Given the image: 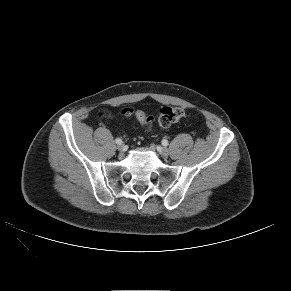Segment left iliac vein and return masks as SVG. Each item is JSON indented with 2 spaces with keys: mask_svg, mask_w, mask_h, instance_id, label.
Instances as JSON below:
<instances>
[{
  "mask_svg": "<svg viewBox=\"0 0 291 291\" xmlns=\"http://www.w3.org/2000/svg\"><path fill=\"white\" fill-rule=\"evenodd\" d=\"M151 148L154 149V146H151ZM159 152H160V154H161L162 156H164V157H167L168 154H169L168 149L165 148V147H161V148L159 149Z\"/></svg>",
  "mask_w": 291,
  "mask_h": 291,
  "instance_id": "obj_1",
  "label": "left iliac vein"
}]
</instances>
